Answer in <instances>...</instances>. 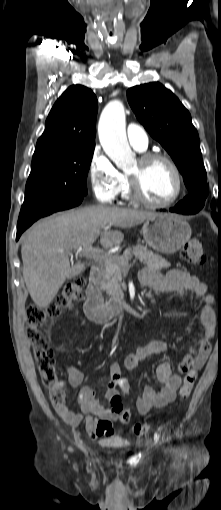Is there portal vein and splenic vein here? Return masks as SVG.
Here are the masks:
<instances>
[{
	"mask_svg": "<svg viewBox=\"0 0 221 510\" xmlns=\"http://www.w3.org/2000/svg\"><path fill=\"white\" fill-rule=\"evenodd\" d=\"M79 251H83L82 248H79L78 249ZM83 256L89 258V259H93V260H96V261H100V262H104V263H107L109 264L111 259H112V255L111 254H108V253H105L103 250L101 249H98V248H93V247H87L85 249V251H83Z\"/></svg>",
	"mask_w": 221,
	"mask_h": 510,
	"instance_id": "18ae733b",
	"label": "portal vein and splenic vein"
}]
</instances>
